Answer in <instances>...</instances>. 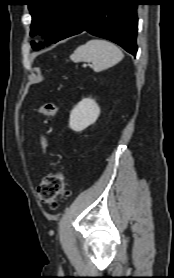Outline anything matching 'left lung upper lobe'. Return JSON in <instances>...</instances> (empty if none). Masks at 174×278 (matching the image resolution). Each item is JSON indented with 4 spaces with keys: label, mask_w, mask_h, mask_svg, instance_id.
Wrapping results in <instances>:
<instances>
[{
    "label": "left lung upper lobe",
    "mask_w": 174,
    "mask_h": 278,
    "mask_svg": "<svg viewBox=\"0 0 174 278\" xmlns=\"http://www.w3.org/2000/svg\"><path fill=\"white\" fill-rule=\"evenodd\" d=\"M78 0H31L29 11L32 15L31 35L44 34L46 44L55 43L60 32L70 20ZM34 50L42 45L32 42Z\"/></svg>",
    "instance_id": "5c2ea615"
}]
</instances>
